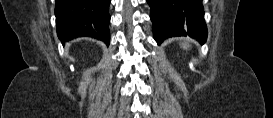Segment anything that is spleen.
I'll return each mask as SVG.
<instances>
[{"label": "spleen", "mask_w": 273, "mask_h": 118, "mask_svg": "<svg viewBox=\"0 0 273 118\" xmlns=\"http://www.w3.org/2000/svg\"><path fill=\"white\" fill-rule=\"evenodd\" d=\"M181 46L183 47V49H188L189 48V44L187 43H182Z\"/></svg>", "instance_id": "3e777b00"}]
</instances>
